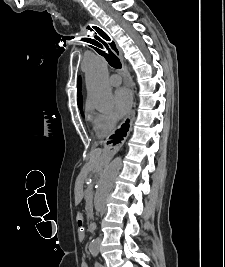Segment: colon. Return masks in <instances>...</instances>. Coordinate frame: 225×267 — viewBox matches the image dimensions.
<instances>
[{"label": "colon", "instance_id": "5ec220e1", "mask_svg": "<svg viewBox=\"0 0 225 267\" xmlns=\"http://www.w3.org/2000/svg\"><path fill=\"white\" fill-rule=\"evenodd\" d=\"M76 222L78 226H82L83 224V216L80 212L76 213Z\"/></svg>", "mask_w": 225, "mask_h": 267}]
</instances>
